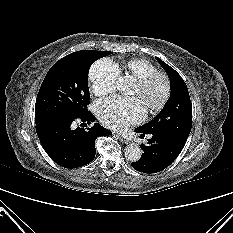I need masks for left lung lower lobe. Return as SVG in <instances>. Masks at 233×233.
Here are the masks:
<instances>
[{
  "label": "left lung lower lobe",
  "mask_w": 233,
  "mask_h": 233,
  "mask_svg": "<svg viewBox=\"0 0 233 233\" xmlns=\"http://www.w3.org/2000/svg\"><path fill=\"white\" fill-rule=\"evenodd\" d=\"M136 132L150 134L151 139L147 145H142L143 154L141 158L131 163L132 167L143 173H156L167 168L180 154L184 145L178 143L168 134L161 131L142 132L135 129Z\"/></svg>",
  "instance_id": "left-lung-lower-lobe-1"
}]
</instances>
